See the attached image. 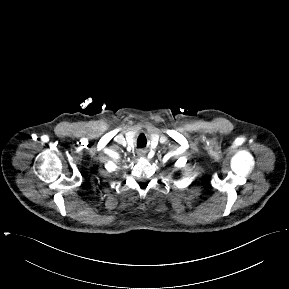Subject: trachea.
<instances>
[{
  "label": "trachea",
  "mask_w": 289,
  "mask_h": 289,
  "mask_svg": "<svg viewBox=\"0 0 289 289\" xmlns=\"http://www.w3.org/2000/svg\"><path fill=\"white\" fill-rule=\"evenodd\" d=\"M146 145V138L144 135L139 136L138 140H137V146L138 147H145Z\"/></svg>",
  "instance_id": "obj_1"
}]
</instances>
